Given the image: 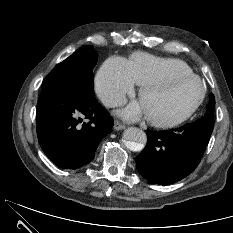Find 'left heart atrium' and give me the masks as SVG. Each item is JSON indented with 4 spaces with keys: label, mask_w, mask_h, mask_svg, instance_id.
<instances>
[{
    "label": "left heart atrium",
    "mask_w": 233,
    "mask_h": 233,
    "mask_svg": "<svg viewBox=\"0 0 233 233\" xmlns=\"http://www.w3.org/2000/svg\"><path fill=\"white\" fill-rule=\"evenodd\" d=\"M145 113L141 102H132L126 108L120 110L118 115L123 119L133 122L139 120Z\"/></svg>",
    "instance_id": "obj_1"
}]
</instances>
